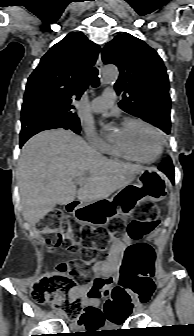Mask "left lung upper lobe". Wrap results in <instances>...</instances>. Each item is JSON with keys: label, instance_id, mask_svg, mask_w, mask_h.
<instances>
[{"label": "left lung upper lobe", "instance_id": "1", "mask_svg": "<svg viewBox=\"0 0 194 336\" xmlns=\"http://www.w3.org/2000/svg\"><path fill=\"white\" fill-rule=\"evenodd\" d=\"M102 59L120 70L115 83L117 94L122 95L119 106L169 134V80L158 53L142 40L124 33L102 49Z\"/></svg>", "mask_w": 194, "mask_h": 336}]
</instances>
